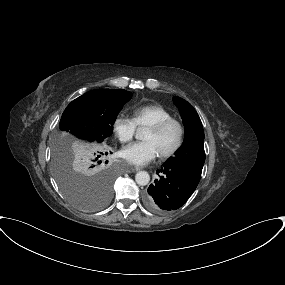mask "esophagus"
Masks as SVG:
<instances>
[{
    "instance_id": "esophagus-1",
    "label": "esophagus",
    "mask_w": 285,
    "mask_h": 285,
    "mask_svg": "<svg viewBox=\"0 0 285 285\" xmlns=\"http://www.w3.org/2000/svg\"><path fill=\"white\" fill-rule=\"evenodd\" d=\"M140 170H141V168H140V167L131 168V171H132V172H136V171H140Z\"/></svg>"
}]
</instances>
